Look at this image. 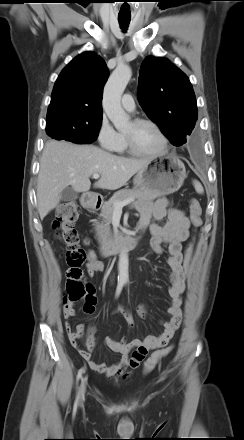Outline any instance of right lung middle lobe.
I'll return each instance as SVG.
<instances>
[{"label":"right lung middle lobe","instance_id":"right-lung-middle-lobe-1","mask_svg":"<svg viewBox=\"0 0 244 440\" xmlns=\"http://www.w3.org/2000/svg\"><path fill=\"white\" fill-rule=\"evenodd\" d=\"M102 121L93 123H76L70 121H46L47 135L56 140H66L77 144L94 142L101 127Z\"/></svg>","mask_w":244,"mask_h":440}]
</instances>
